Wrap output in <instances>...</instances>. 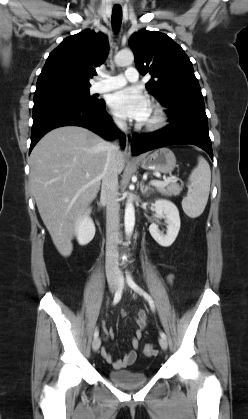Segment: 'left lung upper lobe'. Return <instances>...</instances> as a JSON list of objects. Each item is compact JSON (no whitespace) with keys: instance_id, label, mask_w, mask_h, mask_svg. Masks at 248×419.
I'll use <instances>...</instances> for the list:
<instances>
[{"instance_id":"obj_1","label":"left lung upper lobe","mask_w":248,"mask_h":419,"mask_svg":"<svg viewBox=\"0 0 248 419\" xmlns=\"http://www.w3.org/2000/svg\"><path fill=\"white\" fill-rule=\"evenodd\" d=\"M129 46L139 72L152 75L147 90L168 108V114L191 106H205L190 59L169 36L142 30L130 37Z\"/></svg>"}]
</instances>
